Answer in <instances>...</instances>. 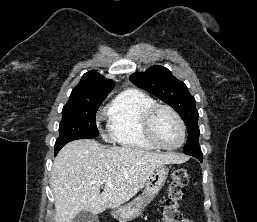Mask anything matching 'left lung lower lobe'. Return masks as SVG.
<instances>
[{"label": "left lung lower lobe", "mask_w": 257, "mask_h": 222, "mask_svg": "<svg viewBox=\"0 0 257 222\" xmlns=\"http://www.w3.org/2000/svg\"><path fill=\"white\" fill-rule=\"evenodd\" d=\"M200 162H202V160H203V156H197L196 157Z\"/></svg>", "instance_id": "1"}]
</instances>
